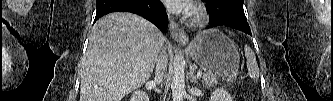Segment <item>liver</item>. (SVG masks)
<instances>
[{"label":"liver","mask_w":333,"mask_h":101,"mask_svg":"<svg viewBox=\"0 0 333 101\" xmlns=\"http://www.w3.org/2000/svg\"><path fill=\"white\" fill-rule=\"evenodd\" d=\"M165 37L146 19L112 13L94 25L80 70V101H121L150 78Z\"/></svg>","instance_id":"6515ba94"}]
</instances>
